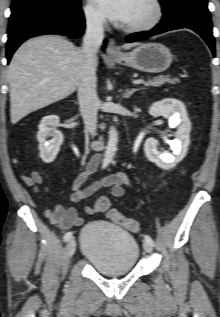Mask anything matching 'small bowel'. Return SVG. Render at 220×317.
Here are the masks:
<instances>
[{
  "label": "small bowel",
  "instance_id": "obj_1",
  "mask_svg": "<svg viewBox=\"0 0 220 317\" xmlns=\"http://www.w3.org/2000/svg\"><path fill=\"white\" fill-rule=\"evenodd\" d=\"M99 160L93 159L90 161L85 170L77 175L72 183V192L69 196L71 203L76 204L82 200L92 196L101 188L108 189V195L112 197H121L124 194L125 186L129 185L128 178L120 172L112 173L107 177L83 187L89 176L97 169ZM22 181L35 193L39 192V185L43 182V177L38 171H33L31 175H23ZM108 202L107 196L99 197L94 205L87 206L85 212L89 215H95L106 211L103 203ZM44 214L49 221L58 226L62 230H67L74 226H79L83 223V219L79 216L77 209L74 206L63 204L57 205L55 208L45 206Z\"/></svg>",
  "mask_w": 220,
  "mask_h": 317
}]
</instances>
